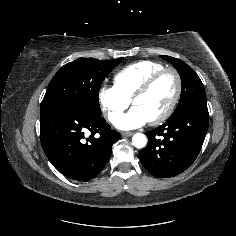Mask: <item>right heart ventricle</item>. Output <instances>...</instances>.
Returning a JSON list of instances; mask_svg holds the SVG:
<instances>
[{
  "label": "right heart ventricle",
  "mask_w": 236,
  "mask_h": 236,
  "mask_svg": "<svg viewBox=\"0 0 236 236\" xmlns=\"http://www.w3.org/2000/svg\"><path fill=\"white\" fill-rule=\"evenodd\" d=\"M163 68V64L154 61H141L128 65L115 74V87L124 97L131 100L135 92Z\"/></svg>",
  "instance_id": "obj_1"
}]
</instances>
